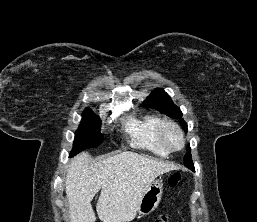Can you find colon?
Listing matches in <instances>:
<instances>
[{
  "instance_id": "obj_1",
  "label": "colon",
  "mask_w": 257,
  "mask_h": 222,
  "mask_svg": "<svg viewBox=\"0 0 257 222\" xmlns=\"http://www.w3.org/2000/svg\"><path fill=\"white\" fill-rule=\"evenodd\" d=\"M181 180V174L179 172H173L168 178V185L170 187H176ZM153 222H170L169 218L166 215H162L156 218Z\"/></svg>"
}]
</instances>
